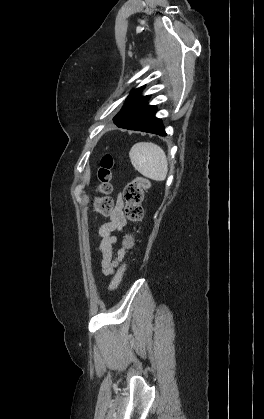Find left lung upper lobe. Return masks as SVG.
<instances>
[{
  "instance_id": "1",
  "label": "left lung upper lobe",
  "mask_w": 264,
  "mask_h": 419,
  "mask_svg": "<svg viewBox=\"0 0 264 419\" xmlns=\"http://www.w3.org/2000/svg\"><path fill=\"white\" fill-rule=\"evenodd\" d=\"M142 88L143 87H140V88H138V89H135V90H133L131 93H130V95L128 96V98H127V103L124 105V107L122 108V110L114 117V119L115 118H117V117H120V116H122L123 114H124V110H125V108H126V106H127V104L129 103V102H131V101H133V100H135L136 98H138L139 96H140V91L142 90ZM129 98H130V101H129Z\"/></svg>"
}]
</instances>
